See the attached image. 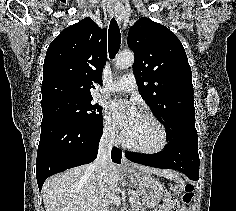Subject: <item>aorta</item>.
Listing matches in <instances>:
<instances>
[{
  "instance_id": "762f6f07",
  "label": "aorta",
  "mask_w": 236,
  "mask_h": 211,
  "mask_svg": "<svg viewBox=\"0 0 236 211\" xmlns=\"http://www.w3.org/2000/svg\"><path fill=\"white\" fill-rule=\"evenodd\" d=\"M134 54L132 52H122L115 59V65L119 69L131 67L134 63Z\"/></svg>"
}]
</instances>
